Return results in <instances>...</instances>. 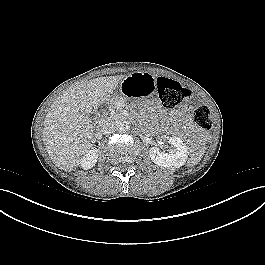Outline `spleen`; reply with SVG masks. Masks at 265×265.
I'll return each instance as SVG.
<instances>
[{
    "mask_svg": "<svg viewBox=\"0 0 265 265\" xmlns=\"http://www.w3.org/2000/svg\"><path fill=\"white\" fill-rule=\"evenodd\" d=\"M206 147H201L198 152H195L191 155L189 161H188V166H194L198 164L201 160V157L203 156L205 152Z\"/></svg>",
    "mask_w": 265,
    "mask_h": 265,
    "instance_id": "spleen-1",
    "label": "spleen"
}]
</instances>
